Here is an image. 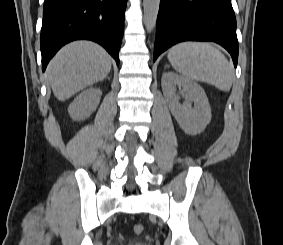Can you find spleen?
I'll return each instance as SVG.
<instances>
[{
    "instance_id": "obj_1",
    "label": "spleen",
    "mask_w": 283,
    "mask_h": 245,
    "mask_svg": "<svg viewBox=\"0 0 283 245\" xmlns=\"http://www.w3.org/2000/svg\"><path fill=\"white\" fill-rule=\"evenodd\" d=\"M168 59L172 67L189 80L206 82L225 92L231 89L233 67L210 43H178L169 50Z\"/></svg>"
}]
</instances>
